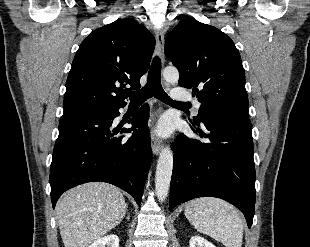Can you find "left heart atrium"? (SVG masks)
<instances>
[{
	"label": "left heart atrium",
	"instance_id": "obj_1",
	"mask_svg": "<svg viewBox=\"0 0 310 247\" xmlns=\"http://www.w3.org/2000/svg\"><path fill=\"white\" fill-rule=\"evenodd\" d=\"M172 130V124L168 117H163L159 121L156 131L160 136H168Z\"/></svg>",
	"mask_w": 310,
	"mask_h": 247
}]
</instances>
